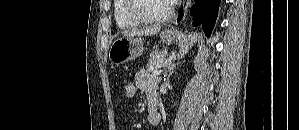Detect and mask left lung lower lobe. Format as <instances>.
<instances>
[{"label": "left lung lower lobe", "mask_w": 299, "mask_h": 130, "mask_svg": "<svg viewBox=\"0 0 299 130\" xmlns=\"http://www.w3.org/2000/svg\"><path fill=\"white\" fill-rule=\"evenodd\" d=\"M221 0H195L192 7L194 26L202 25L206 36H210L215 21L217 19L218 9Z\"/></svg>", "instance_id": "left-lung-lower-lobe-1"}]
</instances>
